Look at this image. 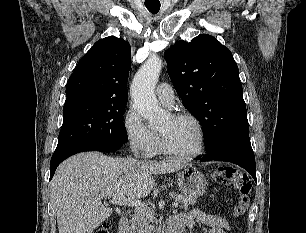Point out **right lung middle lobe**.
<instances>
[{"instance_id":"1","label":"right lung middle lobe","mask_w":306,"mask_h":233,"mask_svg":"<svg viewBox=\"0 0 306 233\" xmlns=\"http://www.w3.org/2000/svg\"><path fill=\"white\" fill-rule=\"evenodd\" d=\"M127 101L78 99L63 107L64 121L55 152L82 142L128 141L123 124Z\"/></svg>"}]
</instances>
